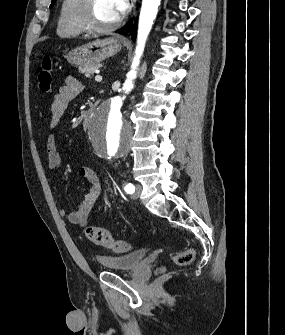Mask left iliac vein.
I'll return each instance as SVG.
<instances>
[{
	"label": "left iliac vein",
	"instance_id": "obj_1",
	"mask_svg": "<svg viewBox=\"0 0 285 335\" xmlns=\"http://www.w3.org/2000/svg\"><path fill=\"white\" fill-rule=\"evenodd\" d=\"M141 191H142V187H141V185H140V184H137V185H136V189H135V191H134V193H133V195H132V198H133V199H137V197L140 195Z\"/></svg>",
	"mask_w": 285,
	"mask_h": 335
}]
</instances>
